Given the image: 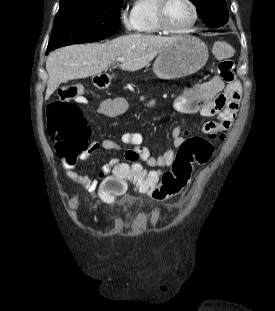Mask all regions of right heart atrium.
I'll use <instances>...</instances> for the list:
<instances>
[{
  "label": "right heart atrium",
  "mask_w": 275,
  "mask_h": 311,
  "mask_svg": "<svg viewBox=\"0 0 275 311\" xmlns=\"http://www.w3.org/2000/svg\"><path fill=\"white\" fill-rule=\"evenodd\" d=\"M121 23L123 27L127 31H136L137 30V22L132 14L122 13L121 14Z\"/></svg>",
  "instance_id": "obj_1"
}]
</instances>
